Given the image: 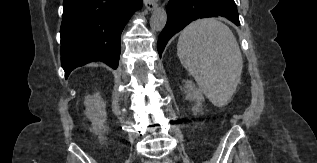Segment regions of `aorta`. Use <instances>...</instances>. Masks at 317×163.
Returning a JSON list of instances; mask_svg holds the SVG:
<instances>
[{"mask_svg":"<svg viewBox=\"0 0 317 163\" xmlns=\"http://www.w3.org/2000/svg\"><path fill=\"white\" fill-rule=\"evenodd\" d=\"M167 22L166 11L162 7H158L153 11L150 19V27L154 31H161Z\"/></svg>","mask_w":317,"mask_h":163,"instance_id":"1","label":"aorta"}]
</instances>
